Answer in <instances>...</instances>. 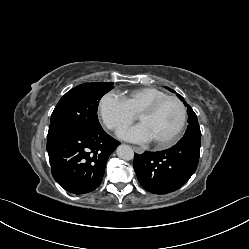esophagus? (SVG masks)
Masks as SVG:
<instances>
[{
    "label": "esophagus",
    "instance_id": "1",
    "mask_svg": "<svg viewBox=\"0 0 249 249\" xmlns=\"http://www.w3.org/2000/svg\"><path fill=\"white\" fill-rule=\"evenodd\" d=\"M132 148H133V150H134L137 154H142V153H143V149L140 148V147H135V146H133Z\"/></svg>",
    "mask_w": 249,
    "mask_h": 249
}]
</instances>
